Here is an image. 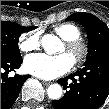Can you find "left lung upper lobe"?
Instances as JSON below:
<instances>
[{
    "label": "left lung upper lobe",
    "instance_id": "5c2ea615",
    "mask_svg": "<svg viewBox=\"0 0 109 109\" xmlns=\"http://www.w3.org/2000/svg\"><path fill=\"white\" fill-rule=\"evenodd\" d=\"M67 19L80 23L87 32L89 54L85 65L109 57V28L104 22L90 13H74ZM65 97L67 102L74 103L80 100L81 92L74 87L66 91Z\"/></svg>",
    "mask_w": 109,
    "mask_h": 109
}]
</instances>
